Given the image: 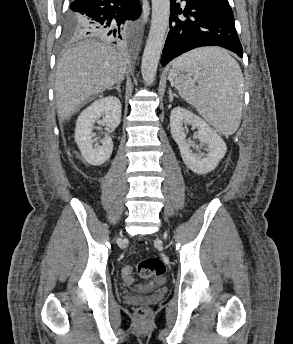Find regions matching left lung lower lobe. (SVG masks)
Listing matches in <instances>:
<instances>
[{
	"label": "left lung lower lobe",
	"mask_w": 293,
	"mask_h": 344,
	"mask_svg": "<svg viewBox=\"0 0 293 344\" xmlns=\"http://www.w3.org/2000/svg\"><path fill=\"white\" fill-rule=\"evenodd\" d=\"M182 10L176 0H171L170 31L166 39L161 64L197 47L220 46L239 57L243 49L238 38L233 12L219 0H185ZM188 19L180 20L178 14Z\"/></svg>",
	"instance_id": "0a47b994"
}]
</instances>
